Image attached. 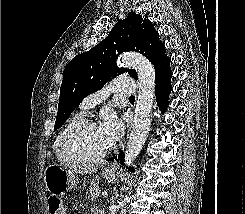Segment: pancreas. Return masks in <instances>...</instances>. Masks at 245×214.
I'll list each match as a JSON object with an SVG mask.
<instances>
[{
    "instance_id": "obj_1",
    "label": "pancreas",
    "mask_w": 245,
    "mask_h": 214,
    "mask_svg": "<svg viewBox=\"0 0 245 214\" xmlns=\"http://www.w3.org/2000/svg\"><path fill=\"white\" fill-rule=\"evenodd\" d=\"M100 192H101L100 187L96 184H92L87 192L88 198L91 199L92 201H95L96 199L101 197Z\"/></svg>"
}]
</instances>
